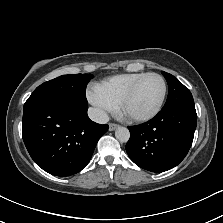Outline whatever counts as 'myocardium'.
Segmentation results:
<instances>
[{
    "label": "myocardium",
    "mask_w": 223,
    "mask_h": 223,
    "mask_svg": "<svg viewBox=\"0 0 223 223\" xmlns=\"http://www.w3.org/2000/svg\"><path fill=\"white\" fill-rule=\"evenodd\" d=\"M149 76H156L160 79L161 83H162V92H161V96L160 99L156 105V107L148 114L146 115H141V116H137V115H129V114H125L121 111V108L128 103V101L131 99V97L134 95V93L136 92L137 88L139 87V85L143 82V80ZM166 91H167V87H166V82L164 80V78L158 74V73H154V72H150V73H146L145 75H143L141 78H139L134 84L133 86L124 94V96L120 99L118 106H119V111L117 113V117L118 118H123V119H127L133 122H147L151 119H153L161 110L162 105L164 103L165 97H166Z\"/></svg>",
    "instance_id": "f54148a6"
}]
</instances>
